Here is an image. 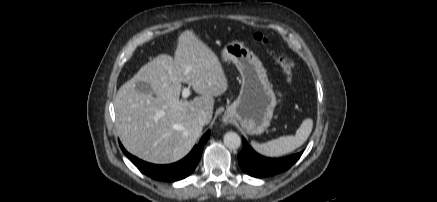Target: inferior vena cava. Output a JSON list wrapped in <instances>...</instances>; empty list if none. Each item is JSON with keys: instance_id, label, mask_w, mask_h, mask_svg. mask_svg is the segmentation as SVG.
<instances>
[{"instance_id": "602c4592", "label": "inferior vena cava", "mask_w": 437, "mask_h": 202, "mask_svg": "<svg viewBox=\"0 0 437 202\" xmlns=\"http://www.w3.org/2000/svg\"><path fill=\"white\" fill-rule=\"evenodd\" d=\"M198 123L201 126H204L205 124L209 123V118L207 117V115L204 112L199 114V116H198Z\"/></svg>"}]
</instances>
